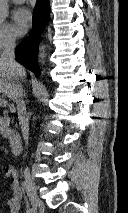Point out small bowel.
<instances>
[{"instance_id":"c3829d8e","label":"small bowel","mask_w":128,"mask_h":213,"mask_svg":"<svg viewBox=\"0 0 128 213\" xmlns=\"http://www.w3.org/2000/svg\"><path fill=\"white\" fill-rule=\"evenodd\" d=\"M6 180L10 182L12 190L11 196H6V204L9 208V213H19L21 208L22 192L18 181V172L13 166H6L3 170Z\"/></svg>"}]
</instances>
